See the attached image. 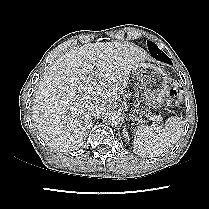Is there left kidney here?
Returning a JSON list of instances; mask_svg holds the SVG:
<instances>
[{
  "mask_svg": "<svg viewBox=\"0 0 209 209\" xmlns=\"http://www.w3.org/2000/svg\"><path fill=\"white\" fill-rule=\"evenodd\" d=\"M123 135L125 136V138H127L128 137V131L124 128V130H123Z\"/></svg>",
  "mask_w": 209,
  "mask_h": 209,
  "instance_id": "1",
  "label": "left kidney"
}]
</instances>
